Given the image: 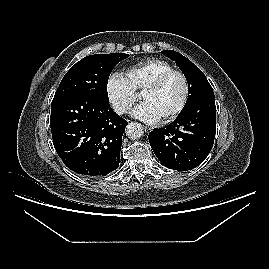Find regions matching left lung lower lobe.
Segmentation results:
<instances>
[{"label": "left lung lower lobe", "mask_w": 269, "mask_h": 269, "mask_svg": "<svg viewBox=\"0 0 269 269\" xmlns=\"http://www.w3.org/2000/svg\"><path fill=\"white\" fill-rule=\"evenodd\" d=\"M216 134L214 93L193 102L164 128L148 135L160 162L170 169L187 171L201 164L211 151Z\"/></svg>", "instance_id": "1"}]
</instances>
